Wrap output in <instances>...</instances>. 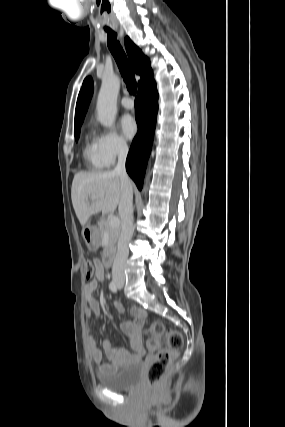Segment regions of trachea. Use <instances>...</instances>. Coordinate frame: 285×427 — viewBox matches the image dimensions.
Segmentation results:
<instances>
[{"label":"trachea","mask_w":285,"mask_h":427,"mask_svg":"<svg viewBox=\"0 0 285 427\" xmlns=\"http://www.w3.org/2000/svg\"><path fill=\"white\" fill-rule=\"evenodd\" d=\"M107 45L118 65L120 73L126 83L130 94L135 95L137 92V83L132 67L130 66L126 54L119 41L116 40L117 34L113 31H107Z\"/></svg>","instance_id":"trachea-1"}]
</instances>
